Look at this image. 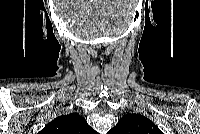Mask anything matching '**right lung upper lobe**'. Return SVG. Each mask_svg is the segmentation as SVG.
Returning a JSON list of instances; mask_svg holds the SVG:
<instances>
[{"label": "right lung upper lobe", "instance_id": "right-lung-upper-lobe-1", "mask_svg": "<svg viewBox=\"0 0 200 134\" xmlns=\"http://www.w3.org/2000/svg\"><path fill=\"white\" fill-rule=\"evenodd\" d=\"M42 134H94L95 131L77 113L57 117L41 131Z\"/></svg>", "mask_w": 200, "mask_h": 134}]
</instances>
